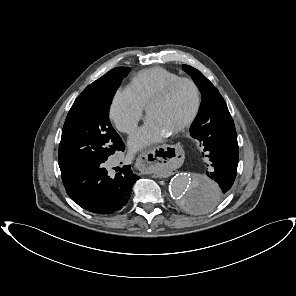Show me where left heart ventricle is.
<instances>
[{
    "label": "left heart ventricle",
    "mask_w": 296,
    "mask_h": 296,
    "mask_svg": "<svg viewBox=\"0 0 296 296\" xmlns=\"http://www.w3.org/2000/svg\"><path fill=\"white\" fill-rule=\"evenodd\" d=\"M194 104V90L190 85L183 84L166 101L155 105L149 117L171 133L190 116Z\"/></svg>",
    "instance_id": "obj_1"
}]
</instances>
